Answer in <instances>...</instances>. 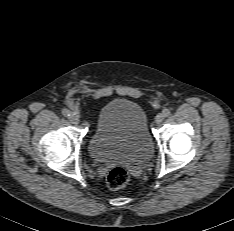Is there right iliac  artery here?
Instances as JSON below:
<instances>
[{"label": "right iliac artery", "mask_w": 234, "mask_h": 231, "mask_svg": "<svg viewBox=\"0 0 234 231\" xmlns=\"http://www.w3.org/2000/svg\"><path fill=\"white\" fill-rule=\"evenodd\" d=\"M62 114L64 115V116H69L70 115V112H69V110H67V109H63L62 110Z\"/></svg>", "instance_id": "82829eb1"}]
</instances>
